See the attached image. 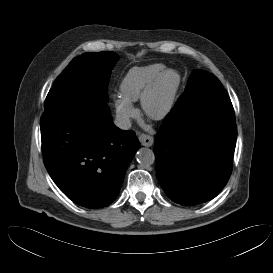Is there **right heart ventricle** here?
I'll return each instance as SVG.
<instances>
[{
	"label": "right heart ventricle",
	"mask_w": 273,
	"mask_h": 273,
	"mask_svg": "<svg viewBox=\"0 0 273 273\" xmlns=\"http://www.w3.org/2000/svg\"><path fill=\"white\" fill-rule=\"evenodd\" d=\"M163 69L162 64L153 63L131 70L120 87L122 97L130 102L139 100L145 89Z\"/></svg>",
	"instance_id": "right-heart-ventricle-1"
}]
</instances>
